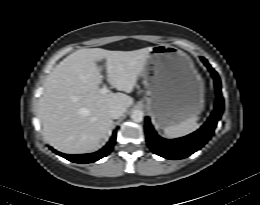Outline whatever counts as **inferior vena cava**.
I'll use <instances>...</instances> for the list:
<instances>
[{
    "instance_id": "obj_1",
    "label": "inferior vena cava",
    "mask_w": 260,
    "mask_h": 205,
    "mask_svg": "<svg viewBox=\"0 0 260 205\" xmlns=\"http://www.w3.org/2000/svg\"><path fill=\"white\" fill-rule=\"evenodd\" d=\"M125 111H126L125 107L121 105H116L109 109L108 115L112 119H118L124 114Z\"/></svg>"
}]
</instances>
